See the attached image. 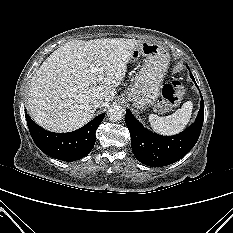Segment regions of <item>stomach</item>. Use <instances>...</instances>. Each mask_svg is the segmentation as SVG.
I'll return each mask as SVG.
<instances>
[{
	"mask_svg": "<svg viewBox=\"0 0 233 233\" xmlns=\"http://www.w3.org/2000/svg\"><path fill=\"white\" fill-rule=\"evenodd\" d=\"M140 56L146 58V63L125 95L135 109L143 111L153 106L160 95L162 80L167 71L170 56L164 47L149 41L140 42L133 50L131 59L135 61Z\"/></svg>",
	"mask_w": 233,
	"mask_h": 233,
	"instance_id": "stomach-1",
	"label": "stomach"
}]
</instances>
